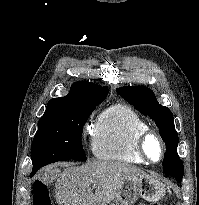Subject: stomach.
Returning <instances> with one entry per match:
<instances>
[{
  "instance_id": "1",
  "label": "stomach",
  "mask_w": 199,
  "mask_h": 205,
  "mask_svg": "<svg viewBox=\"0 0 199 205\" xmlns=\"http://www.w3.org/2000/svg\"><path fill=\"white\" fill-rule=\"evenodd\" d=\"M165 190V185L157 178L148 175L130 176L121 184L114 199L115 205H132L138 198L157 202L163 198Z\"/></svg>"
}]
</instances>
